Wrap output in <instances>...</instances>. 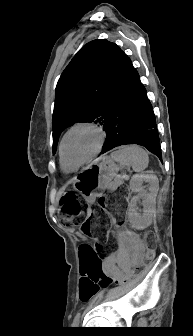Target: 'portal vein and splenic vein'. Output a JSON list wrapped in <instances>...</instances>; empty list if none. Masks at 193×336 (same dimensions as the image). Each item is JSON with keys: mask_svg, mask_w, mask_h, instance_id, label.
I'll return each mask as SVG.
<instances>
[{"mask_svg": "<svg viewBox=\"0 0 193 336\" xmlns=\"http://www.w3.org/2000/svg\"><path fill=\"white\" fill-rule=\"evenodd\" d=\"M122 177H126V175H122Z\"/></svg>", "mask_w": 193, "mask_h": 336, "instance_id": "portal-vein-and-splenic-vein-1", "label": "portal vein and splenic vein"}]
</instances>
